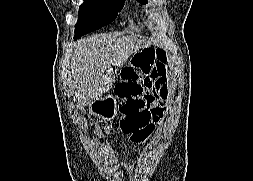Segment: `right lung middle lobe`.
I'll use <instances>...</instances> for the list:
<instances>
[{
  "label": "right lung middle lobe",
  "mask_w": 253,
  "mask_h": 181,
  "mask_svg": "<svg viewBox=\"0 0 253 181\" xmlns=\"http://www.w3.org/2000/svg\"><path fill=\"white\" fill-rule=\"evenodd\" d=\"M123 6L124 0H84L79 8L74 38L110 24Z\"/></svg>",
  "instance_id": "dd1d6c3e"
}]
</instances>
